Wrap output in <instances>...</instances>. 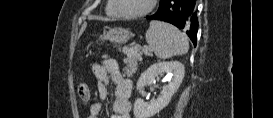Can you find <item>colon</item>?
I'll use <instances>...</instances> for the list:
<instances>
[{
    "label": "colon",
    "mask_w": 273,
    "mask_h": 118,
    "mask_svg": "<svg viewBox=\"0 0 273 118\" xmlns=\"http://www.w3.org/2000/svg\"><path fill=\"white\" fill-rule=\"evenodd\" d=\"M77 92H78V95L80 96V98L86 97V95L88 93L87 85L85 83H80L77 87Z\"/></svg>",
    "instance_id": "5ec220e1"
}]
</instances>
